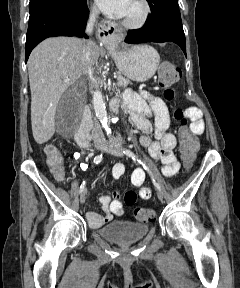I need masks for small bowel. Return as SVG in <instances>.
Masks as SVG:
<instances>
[{
    "label": "small bowel",
    "mask_w": 240,
    "mask_h": 288,
    "mask_svg": "<svg viewBox=\"0 0 240 288\" xmlns=\"http://www.w3.org/2000/svg\"><path fill=\"white\" fill-rule=\"evenodd\" d=\"M119 102H122L133 124L141 131V145L148 148L151 157L162 164V173L167 177L175 175L180 169V164L173 153L176 146V137L170 129V115L165 102L160 97L154 96L145 90L140 92L126 90ZM183 113L185 118L190 121L189 129L191 132L194 135H201L204 131L202 112L196 107H189ZM152 119L154 120V126L151 122ZM152 136L154 139H152ZM83 155V150L75 154L76 157ZM124 173V164L117 163L114 165L112 175L115 179H119ZM144 181L145 174L143 170L135 169L131 175V182L139 188L140 198L147 200L151 196V189L144 186ZM101 204L104 215L95 211L87 213L89 224L94 228L110 221L113 214L121 215L123 213L122 203L117 192L114 193L112 200L108 196H103Z\"/></svg>",
    "instance_id": "1"
}]
</instances>
